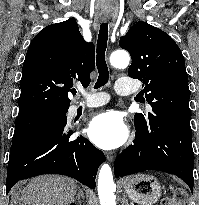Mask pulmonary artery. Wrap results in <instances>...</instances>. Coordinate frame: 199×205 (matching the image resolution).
<instances>
[{
    "label": "pulmonary artery",
    "instance_id": "e3ab8cb5",
    "mask_svg": "<svg viewBox=\"0 0 199 205\" xmlns=\"http://www.w3.org/2000/svg\"><path fill=\"white\" fill-rule=\"evenodd\" d=\"M115 90L120 95H129L136 91V87L129 84L125 79H118L116 81ZM108 101V95H89L84 101L83 105L74 104L70 108L71 113H75L80 108H92L103 105Z\"/></svg>",
    "mask_w": 199,
    "mask_h": 205
}]
</instances>
